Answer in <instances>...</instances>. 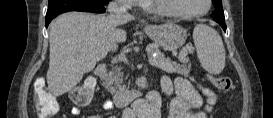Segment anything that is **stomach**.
I'll list each match as a JSON object with an SVG mask.
<instances>
[{"mask_svg":"<svg viewBox=\"0 0 273 118\" xmlns=\"http://www.w3.org/2000/svg\"><path fill=\"white\" fill-rule=\"evenodd\" d=\"M145 31L158 46L167 51L178 49L187 38V31L171 22L162 25H149Z\"/></svg>","mask_w":273,"mask_h":118,"instance_id":"stomach-1","label":"stomach"}]
</instances>
